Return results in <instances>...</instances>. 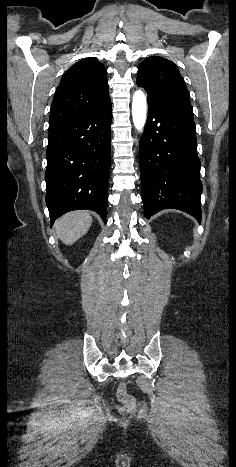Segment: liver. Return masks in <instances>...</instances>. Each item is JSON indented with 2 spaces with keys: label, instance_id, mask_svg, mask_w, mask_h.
<instances>
[{
  "label": "liver",
  "instance_id": "liver-1",
  "mask_svg": "<svg viewBox=\"0 0 236 467\" xmlns=\"http://www.w3.org/2000/svg\"><path fill=\"white\" fill-rule=\"evenodd\" d=\"M92 224V217L88 211L79 210L69 212L57 219L54 227L57 237L66 245L74 244L84 236Z\"/></svg>",
  "mask_w": 236,
  "mask_h": 467
}]
</instances>
